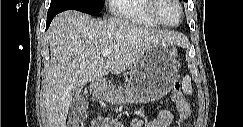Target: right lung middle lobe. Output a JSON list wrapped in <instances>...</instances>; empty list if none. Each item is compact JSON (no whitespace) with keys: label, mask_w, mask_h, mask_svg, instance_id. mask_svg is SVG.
Instances as JSON below:
<instances>
[{"label":"right lung middle lobe","mask_w":243,"mask_h":127,"mask_svg":"<svg viewBox=\"0 0 243 127\" xmlns=\"http://www.w3.org/2000/svg\"><path fill=\"white\" fill-rule=\"evenodd\" d=\"M103 6L102 0H51L47 15H56L65 10H78L90 15H97Z\"/></svg>","instance_id":"right-lung-middle-lobe-1"}]
</instances>
